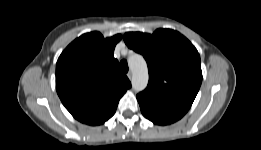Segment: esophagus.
I'll list each match as a JSON object with an SVG mask.
<instances>
[{"instance_id": "esophagus-1", "label": "esophagus", "mask_w": 261, "mask_h": 150, "mask_svg": "<svg viewBox=\"0 0 261 150\" xmlns=\"http://www.w3.org/2000/svg\"><path fill=\"white\" fill-rule=\"evenodd\" d=\"M132 76H133V73H132L131 71H129V72L127 73V77L131 80V79H132Z\"/></svg>"}]
</instances>
